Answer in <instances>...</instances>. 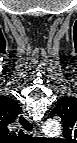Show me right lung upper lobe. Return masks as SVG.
Returning <instances> with one entry per match:
<instances>
[{"label":"right lung upper lobe","mask_w":77,"mask_h":143,"mask_svg":"<svg viewBox=\"0 0 77 143\" xmlns=\"http://www.w3.org/2000/svg\"><path fill=\"white\" fill-rule=\"evenodd\" d=\"M17 102L9 97H0V127L8 133L7 126L13 123L16 117L21 113Z\"/></svg>","instance_id":"obj_1"}]
</instances>
